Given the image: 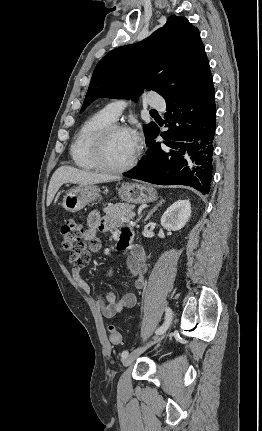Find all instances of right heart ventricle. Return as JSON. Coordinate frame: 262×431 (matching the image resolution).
Instances as JSON below:
<instances>
[{
    "instance_id": "obj_1",
    "label": "right heart ventricle",
    "mask_w": 262,
    "mask_h": 431,
    "mask_svg": "<svg viewBox=\"0 0 262 431\" xmlns=\"http://www.w3.org/2000/svg\"><path fill=\"white\" fill-rule=\"evenodd\" d=\"M112 123L114 120L104 110L91 115L82 123L70 147L75 166L86 171L100 170L93 157L95 138L100 130Z\"/></svg>"
}]
</instances>
